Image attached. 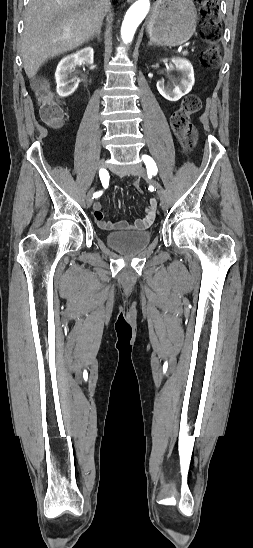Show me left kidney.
Wrapping results in <instances>:
<instances>
[{"instance_id":"1","label":"left kidney","mask_w":253,"mask_h":548,"mask_svg":"<svg viewBox=\"0 0 253 548\" xmlns=\"http://www.w3.org/2000/svg\"><path fill=\"white\" fill-rule=\"evenodd\" d=\"M172 63L181 73L179 80L172 81L167 85L163 81L157 82L159 93L169 101H178L182 96L189 93L194 85V70L191 63L184 58H172Z\"/></svg>"}]
</instances>
